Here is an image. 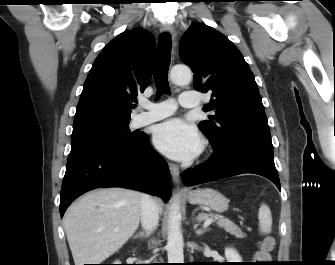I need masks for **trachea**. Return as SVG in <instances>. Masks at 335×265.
<instances>
[{
  "instance_id": "trachea-1",
  "label": "trachea",
  "mask_w": 335,
  "mask_h": 265,
  "mask_svg": "<svg viewBox=\"0 0 335 265\" xmlns=\"http://www.w3.org/2000/svg\"><path fill=\"white\" fill-rule=\"evenodd\" d=\"M171 61V38L164 33L159 41L158 50L153 63V76L158 89V95L169 92L168 70Z\"/></svg>"
}]
</instances>
